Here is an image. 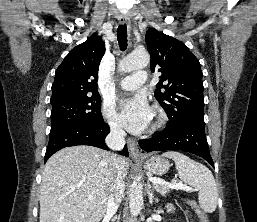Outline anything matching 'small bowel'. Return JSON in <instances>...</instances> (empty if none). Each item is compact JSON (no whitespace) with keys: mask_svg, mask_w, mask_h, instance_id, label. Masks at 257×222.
<instances>
[{"mask_svg":"<svg viewBox=\"0 0 257 222\" xmlns=\"http://www.w3.org/2000/svg\"><path fill=\"white\" fill-rule=\"evenodd\" d=\"M169 211H172V208H169Z\"/></svg>","mask_w":257,"mask_h":222,"instance_id":"obj_1","label":"small bowel"}]
</instances>
